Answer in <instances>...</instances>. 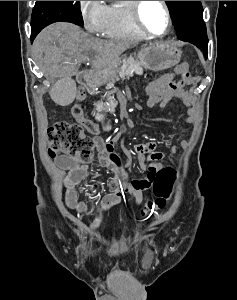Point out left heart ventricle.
<instances>
[{"mask_svg":"<svg viewBox=\"0 0 237 300\" xmlns=\"http://www.w3.org/2000/svg\"><path fill=\"white\" fill-rule=\"evenodd\" d=\"M145 26L155 34H162L166 30L167 21L165 11L160 1H145L141 11Z\"/></svg>","mask_w":237,"mask_h":300,"instance_id":"b2bd125f","label":"left heart ventricle"}]
</instances>
